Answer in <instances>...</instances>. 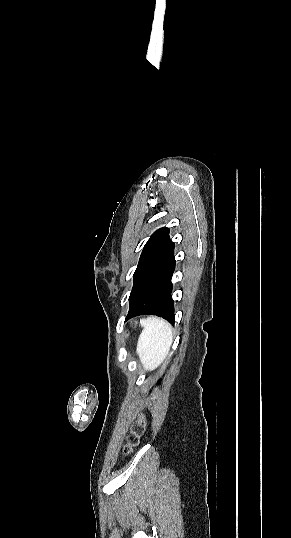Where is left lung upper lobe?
Segmentation results:
<instances>
[{
  "mask_svg": "<svg viewBox=\"0 0 291 538\" xmlns=\"http://www.w3.org/2000/svg\"><path fill=\"white\" fill-rule=\"evenodd\" d=\"M172 244L173 242L169 238V228H161L151 235L144 246L137 269L134 273L133 288L140 276L150 266V264L163 252H165Z\"/></svg>",
  "mask_w": 291,
  "mask_h": 538,
  "instance_id": "obj_1",
  "label": "left lung upper lobe"
}]
</instances>
